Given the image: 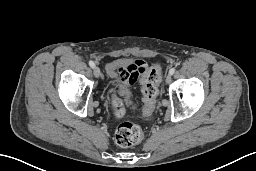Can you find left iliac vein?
I'll list each match as a JSON object with an SVG mask.
<instances>
[{
  "label": "left iliac vein",
  "instance_id": "1",
  "mask_svg": "<svg viewBox=\"0 0 256 171\" xmlns=\"http://www.w3.org/2000/svg\"><path fill=\"white\" fill-rule=\"evenodd\" d=\"M166 84H169L170 81H171V74H168L167 77H166Z\"/></svg>",
  "mask_w": 256,
  "mask_h": 171
}]
</instances>
